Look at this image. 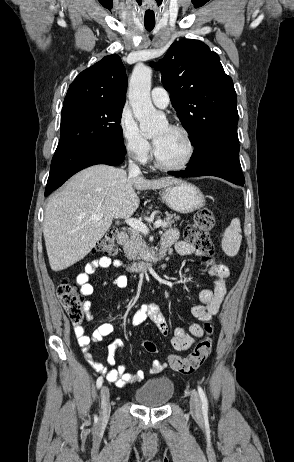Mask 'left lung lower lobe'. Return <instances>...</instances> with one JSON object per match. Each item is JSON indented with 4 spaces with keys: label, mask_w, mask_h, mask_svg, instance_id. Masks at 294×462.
Returning a JSON list of instances; mask_svg holds the SVG:
<instances>
[{
    "label": "left lung lower lobe",
    "mask_w": 294,
    "mask_h": 462,
    "mask_svg": "<svg viewBox=\"0 0 294 462\" xmlns=\"http://www.w3.org/2000/svg\"><path fill=\"white\" fill-rule=\"evenodd\" d=\"M192 156L185 171L171 172L178 177L217 176L234 184L245 183L239 162V141L237 124L229 123L220 127L213 135L194 146Z\"/></svg>",
    "instance_id": "left-lung-lower-lobe-1"
}]
</instances>
